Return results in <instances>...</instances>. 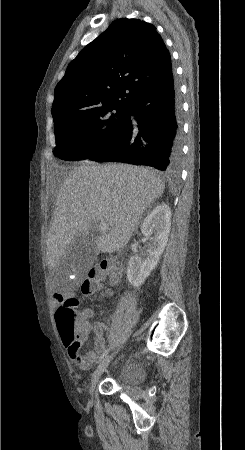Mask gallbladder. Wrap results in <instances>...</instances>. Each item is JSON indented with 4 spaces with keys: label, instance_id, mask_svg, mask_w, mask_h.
<instances>
[{
    "label": "gallbladder",
    "instance_id": "gallbladder-1",
    "mask_svg": "<svg viewBox=\"0 0 245 450\" xmlns=\"http://www.w3.org/2000/svg\"><path fill=\"white\" fill-rule=\"evenodd\" d=\"M97 254L94 237L78 235L58 262L55 273L64 269L70 274L81 276L94 263Z\"/></svg>",
    "mask_w": 245,
    "mask_h": 450
}]
</instances>
